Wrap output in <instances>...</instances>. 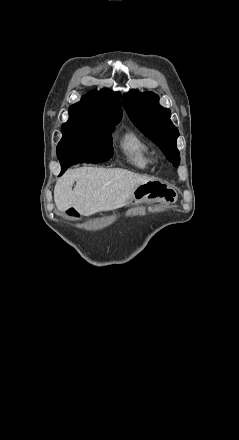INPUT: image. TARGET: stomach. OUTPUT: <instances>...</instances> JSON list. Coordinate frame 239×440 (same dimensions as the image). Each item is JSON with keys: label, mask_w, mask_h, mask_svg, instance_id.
Masks as SVG:
<instances>
[{"label": "stomach", "mask_w": 239, "mask_h": 440, "mask_svg": "<svg viewBox=\"0 0 239 440\" xmlns=\"http://www.w3.org/2000/svg\"><path fill=\"white\" fill-rule=\"evenodd\" d=\"M165 188L160 182H147V184H141L135 192H133L128 204L134 206V204H140L142 200H149V198H154V200H165L163 194Z\"/></svg>", "instance_id": "stomach-1"}]
</instances>
